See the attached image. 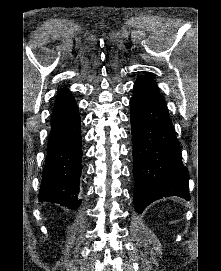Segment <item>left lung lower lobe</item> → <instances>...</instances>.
I'll list each match as a JSON object with an SVG mask.
<instances>
[{
    "label": "left lung lower lobe",
    "mask_w": 221,
    "mask_h": 271,
    "mask_svg": "<svg viewBox=\"0 0 221 271\" xmlns=\"http://www.w3.org/2000/svg\"><path fill=\"white\" fill-rule=\"evenodd\" d=\"M130 106L136 211L141 213L163 197L178 196L189 201L188 169L159 92L136 81Z\"/></svg>",
    "instance_id": "1"
}]
</instances>
